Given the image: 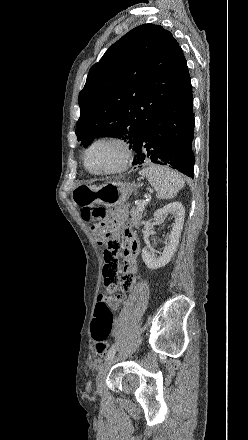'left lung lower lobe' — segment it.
Here are the masks:
<instances>
[{
  "mask_svg": "<svg viewBox=\"0 0 248 440\" xmlns=\"http://www.w3.org/2000/svg\"><path fill=\"white\" fill-rule=\"evenodd\" d=\"M193 96L191 83L170 99L147 124L133 150V164L147 162L170 166L193 178L194 137Z\"/></svg>",
  "mask_w": 248,
  "mask_h": 440,
  "instance_id": "obj_1",
  "label": "left lung lower lobe"
}]
</instances>
